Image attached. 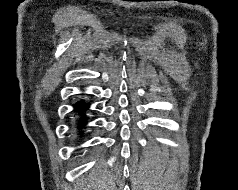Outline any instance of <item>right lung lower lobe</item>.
Returning a JSON list of instances; mask_svg holds the SVG:
<instances>
[{
  "label": "right lung lower lobe",
  "mask_w": 238,
  "mask_h": 190,
  "mask_svg": "<svg viewBox=\"0 0 238 190\" xmlns=\"http://www.w3.org/2000/svg\"><path fill=\"white\" fill-rule=\"evenodd\" d=\"M73 106H74V113L76 114V116H78V119L76 121L77 130L80 133V135H82L83 134L82 130L88 121L85 112L90 107V105L86 103L84 100H80L76 102Z\"/></svg>",
  "instance_id": "obj_1"
}]
</instances>
